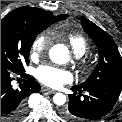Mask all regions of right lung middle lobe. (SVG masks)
Wrapping results in <instances>:
<instances>
[{
	"label": "right lung middle lobe",
	"mask_w": 122,
	"mask_h": 122,
	"mask_svg": "<svg viewBox=\"0 0 122 122\" xmlns=\"http://www.w3.org/2000/svg\"><path fill=\"white\" fill-rule=\"evenodd\" d=\"M51 24L7 14L1 20V66L14 72H23V64L29 63L30 49L36 36Z\"/></svg>",
	"instance_id": "1"
}]
</instances>
